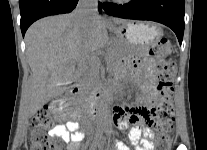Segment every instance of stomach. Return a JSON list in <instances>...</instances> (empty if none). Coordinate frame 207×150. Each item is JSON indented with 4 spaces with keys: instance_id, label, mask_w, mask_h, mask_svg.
<instances>
[{
    "instance_id": "0dacf381",
    "label": "stomach",
    "mask_w": 207,
    "mask_h": 150,
    "mask_svg": "<svg viewBox=\"0 0 207 150\" xmlns=\"http://www.w3.org/2000/svg\"><path fill=\"white\" fill-rule=\"evenodd\" d=\"M109 29L115 36V47L119 50L120 57L128 53L126 46L143 52L163 34L162 28L157 24L125 22L119 26H110Z\"/></svg>"
}]
</instances>
